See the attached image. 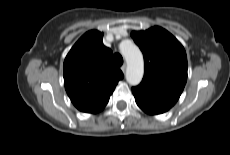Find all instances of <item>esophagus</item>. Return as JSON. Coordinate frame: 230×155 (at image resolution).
Returning a JSON list of instances; mask_svg holds the SVG:
<instances>
[{"instance_id": "34e87169", "label": "esophagus", "mask_w": 230, "mask_h": 155, "mask_svg": "<svg viewBox=\"0 0 230 155\" xmlns=\"http://www.w3.org/2000/svg\"><path fill=\"white\" fill-rule=\"evenodd\" d=\"M121 70H122L123 73H125V71H126V64H123V65L121 66Z\"/></svg>"}]
</instances>
